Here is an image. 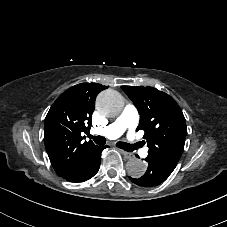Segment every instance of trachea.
I'll return each instance as SVG.
<instances>
[{
  "label": "trachea",
  "mask_w": 227,
  "mask_h": 227,
  "mask_svg": "<svg viewBox=\"0 0 227 227\" xmlns=\"http://www.w3.org/2000/svg\"><path fill=\"white\" fill-rule=\"evenodd\" d=\"M88 137L93 139L96 144L104 145L106 143V138L105 137L93 136V135H90V134H88ZM116 146L118 148H121V149H123L125 151H128V152H133L134 150L139 148L138 144H128V143L121 142V141L117 142Z\"/></svg>",
  "instance_id": "3493384b"
}]
</instances>
